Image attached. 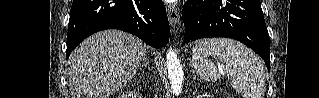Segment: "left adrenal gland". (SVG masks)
Wrapping results in <instances>:
<instances>
[{
	"label": "left adrenal gland",
	"instance_id": "1",
	"mask_svg": "<svg viewBox=\"0 0 319 98\" xmlns=\"http://www.w3.org/2000/svg\"><path fill=\"white\" fill-rule=\"evenodd\" d=\"M193 73H194V78H196V75H195V72H194V70H193Z\"/></svg>",
	"mask_w": 319,
	"mask_h": 98
}]
</instances>
